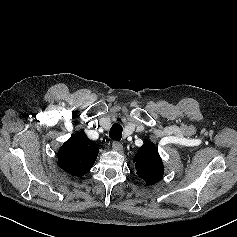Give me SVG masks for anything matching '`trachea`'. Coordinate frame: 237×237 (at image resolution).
Here are the masks:
<instances>
[{
  "label": "trachea",
  "mask_w": 237,
  "mask_h": 237,
  "mask_svg": "<svg viewBox=\"0 0 237 237\" xmlns=\"http://www.w3.org/2000/svg\"><path fill=\"white\" fill-rule=\"evenodd\" d=\"M122 130L123 129L120 124H114L109 131L110 138L116 141H120L122 138Z\"/></svg>",
  "instance_id": "obj_1"
}]
</instances>
